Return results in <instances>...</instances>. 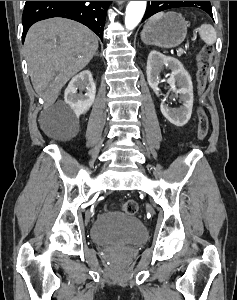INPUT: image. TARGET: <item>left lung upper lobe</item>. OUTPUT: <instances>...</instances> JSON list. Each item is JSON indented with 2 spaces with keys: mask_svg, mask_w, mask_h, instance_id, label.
<instances>
[{
  "mask_svg": "<svg viewBox=\"0 0 237 300\" xmlns=\"http://www.w3.org/2000/svg\"><path fill=\"white\" fill-rule=\"evenodd\" d=\"M179 7H194L205 12L212 10L210 1H148L142 22L157 12Z\"/></svg>",
  "mask_w": 237,
  "mask_h": 300,
  "instance_id": "left-lung-upper-lobe-1",
  "label": "left lung upper lobe"
}]
</instances>
